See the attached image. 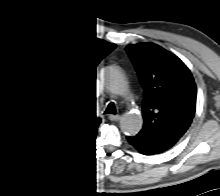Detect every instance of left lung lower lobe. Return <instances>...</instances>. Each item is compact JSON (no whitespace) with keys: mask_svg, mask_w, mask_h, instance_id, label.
Instances as JSON below:
<instances>
[{"mask_svg":"<svg viewBox=\"0 0 220 196\" xmlns=\"http://www.w3.org/2000/svg\"><path fill=\"white\" fill-rule=\"evenodd\" d=\"M128 141L133 144L141 153L146 155L161 153L166 149L160 147L159 145L153 143L147 137L137 134L133 137H127Z\"/></svg>","mask_w":220,"mask_h":196,"instance_id":"0a47b994","label":"left lung lower lobe"}]
</instances>
